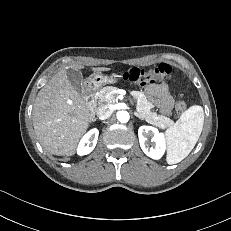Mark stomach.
Listing matches in <instances>:
<instances>
[{"label": "stomach", "mask_w": 231, "mask_h": 231, "mask_svg": "<svg viewBox=\"0 0 231 231\" xmlns=\"http://www.w3.org/2000/svg\"><path fill=\"white\" fill-rule=\"evenodd\" d=\"M117 80L112 76L104 75L102 73H94L86 80V84L92 88H99L106 83H114Z\"/></svg>", "instance_id": "obj_1"}]
</instances>
